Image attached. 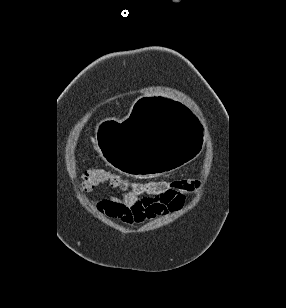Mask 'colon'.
Listing matches in <instances>:
<instances>
[{"label":"colon","instance_id":"5ec220e1","mask_svg":"<svg viewBox=\"0 0 286 308\" xmlns=\"http://www.w3.org/2000/svg\"><path fill=\"white\" fill-rule=\"evenodd\" d=\"M103 184L114 188L127 189L131 187L135 193H147L153 197H163L171 190L194 192L200 187L195 179L155 180L144 183L128 184L126 179L107 168H94L86 171L81 177V190L90 191Z\"/></svg>","mask_w":286,"mask_h":308}]
</instances>
